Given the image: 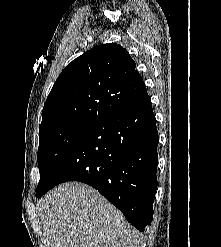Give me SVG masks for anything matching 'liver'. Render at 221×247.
Returning <instances> with one entry per match:
<instances>
[{"instance_id": "obj_1", "label": "liver", "mask_w": 221, "mask_h": 247, "mask_svg": "<svg viewBox=\"0 0 221 247\" xmlns=\"http://www.w3.org/2000/svg\"><path fill=\"white\" fill-rule=\"evenodd\" d=\"M37 213L50 247H139L122 213L85 184L68 182L48 192Z\"/></svg>"}]
</instances>
